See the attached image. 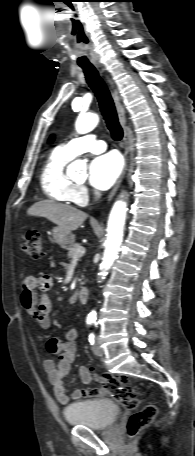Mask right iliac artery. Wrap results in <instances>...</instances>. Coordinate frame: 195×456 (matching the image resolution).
Instances as JSON below:
<instances>
[{
	"instance_id": "right-iliac-artery-1",
	"label": "right iliac artery",
	"mask_w": 195,
	"mask_h": 456,
	"mask_svg": "<svg viewBox=\"0 0 195 456\" xmlns=\"http://www.w3.org/2000/svg\"><path fill=\"white\" fill-rule=\"evenodd\" d=\"M93 322H94L93 319H87V324L88 325H91Z\"/></svg>"
}]
</instances>
